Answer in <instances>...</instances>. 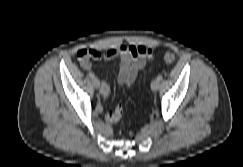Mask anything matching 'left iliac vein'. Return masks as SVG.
Listing matches in <instances>:
<instances>
[{
  "instance_id": "1",
  "label": "left iliac vein",
  "mask_w": 243,
  "mask_h": 167,
  "mask_svg": "<svg viewBox=\"0 0 243 167\" xmlns=\"http://www.w3.org/2000/svg\"><path fill=\"white\" fill-rule=\"evenodd\" d=\"M159 86H160V81L159 80H153L151 82V89L152 91H157L159 89Z\"/></svg>"
}]
</instances>
